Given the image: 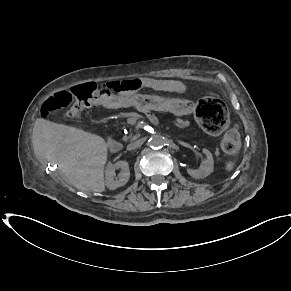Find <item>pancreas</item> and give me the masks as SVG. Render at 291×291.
<instances>
[{"label": "pancreas", "mask_w": 291, "mask_h": 291, "mask_svg": "<svg viewBox=\"0 0 291 291\" xmlns=\"http://www.w3.org/2000/svg\"><path fill=\"white\" fill-rule=\"evenodd\" d=\"M127 139H128L127 137L124 138V140H127Z\"/></svg>", "instance_id": "obj_1"}]
</instances>
